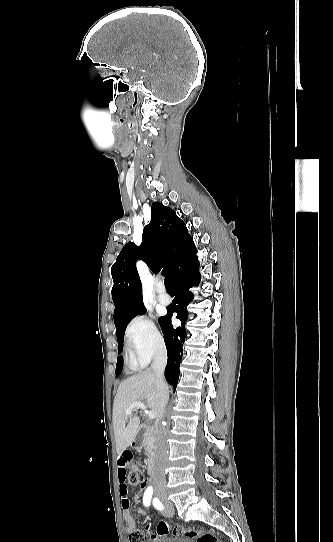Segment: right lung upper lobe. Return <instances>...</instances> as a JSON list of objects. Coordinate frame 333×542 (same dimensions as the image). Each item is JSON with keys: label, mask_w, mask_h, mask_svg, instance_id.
Here are the masks:
<instances>
[{"label": "right lung upper lobe", "mask_w": 333, "mask_h": 542, "mask_svg": "<svg viewBox=\"0 0 333 542\" xmlns=\"http://www.w3.org/2000/svg\"><path fill=\"white\" fill-rule=\"evenodd\" d=\"M192 243L186 225L176 213L161 203H153L151 221L143 230L141 245L127 243L111 268L114 322L144 308L136 260L142 259L154 273L163 268V275L171 279L176 255Z\"/></svg>", "instance_id": "1"}]
</instances>
